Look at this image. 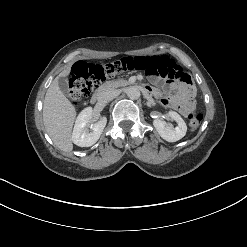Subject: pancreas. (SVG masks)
<instances>
[{"mask_svg":"<svg viewBox=\"0 0 247 247\" xmlns=\"http://www.w3.org/2000/svg\"><path fill=\"white\" fill-rule=\"evenodd\" d=\"M129 84V81L127 80H116V81H111L105 86L101 88V90L107 89V88H118L122 86H126Z\"/></svg>","mask_w":247,"mask_h":247,"instance_id":"1","label":"pancreas"}]
</instances>
